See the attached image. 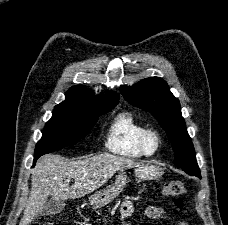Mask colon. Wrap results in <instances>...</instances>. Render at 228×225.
Masks as SVG:
<instances>
[{"instance_id": "obj_1", "label": "colon", "mask_w": 228, "mask_h": 225, "mask_svg": "<svg viewBox=\"0 0 228 225\" xmlns=\"http://www.w3.org/2000/svg\"><path fill=\"white\" fill-rule=\"evenodd\" d=\"M164 191L168 197L177 199L174 202V207L179 209L181 207V200L179 198L186 192L184 183L181 180H170L166 183Z\"/></svg>"}]
</instances>
